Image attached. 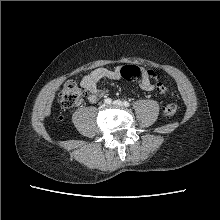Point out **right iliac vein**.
Returning <instances> with one entry per match:
<instances>
[{
	"label": "right iliac vein",
	"mask_w": 220,
	"mask_h": 220,
	"mask_svg": "<svg viewBox=\"0 0 220 220\" xmlns=\"http://www.w3.org/2000/svg\"><path fill=\"white\" fill-rule=\"evenodd\" d=\"M105 107H106L105 104H101V105L99 106V109H104Z\"/></svg>",
	"instance_id": "obj_1"
}]
</instances>
